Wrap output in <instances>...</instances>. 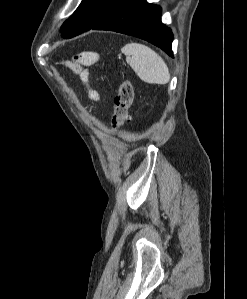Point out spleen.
I'll return each mask as SVG.
<instances>
[{"label": "spleen", "instance_id": "1", "mask_svg": "<svg viewBox=\"0 0 247 299\" xmlns=\"http://www.w3.org/2000/svg\"><path fill=\"white\" fill-rule=\"evenodd\" d=\"M121 52L142 81L155 84L169 82L170 73L165 61L150 47L139 43H128L122 47Z\"/></svg>", "mask_w": 247, "mask_h": 299}]
</instances>
